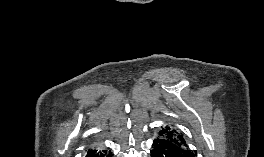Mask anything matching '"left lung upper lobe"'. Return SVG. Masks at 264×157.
<instances>
[{
	"label": "left lung upper lobe",
	"mask_w": 264,
	"mask_h": 157,
	"mask_svg": "<svg viewBox=\"0 0 264 157\" xmlns=\"http://www.w3.org/2000/svg\"><path fill=\"white\" fill-rule=\"evenodd\" d=\"M159 138L172 142L173 144L178 146L186 156L195 157L196 155L188 148L183 135L174 128H171L169 126L163 128L159 132Z\"/></svg>",
	"instance_id": "1"
}]
</instances>
